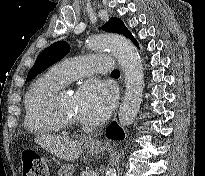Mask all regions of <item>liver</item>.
Here are the masks:
<instances>
[{
  "instance_id": "6515ba94",
  "label": "liver",
  "mask_w": 205,
  "mask_h": 176,
  "mask_svg": "<svg viewBox=\"0 0 205 176\" xmlns=\"http://www.w3.org/2000/svg\"><path fill=\"white\" fill-rule=\"evenodd\" d=\"M35 142L57 157L73 161L82 154L83 142L53 135H39Z\"/></svg>"
}]
</instances>
